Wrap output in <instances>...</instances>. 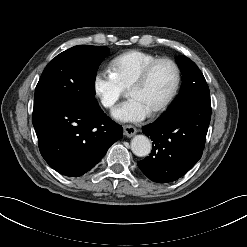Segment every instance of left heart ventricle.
<instances>
[{
	"mask_svg": "<svg viewBox=\"0 0 247 247\" xmlns=\"http://www.w3.org/2000/svg\"><path fill=\"white\" fill-rule=\"evenodd\" d=\"M174 77V70L169 64H159L152 71L147 82L131 90L128 95L152 110L168 95L173 86Z\"/></svg>",
	"mask_w": 247,
	"mask_h": 247,
	"instance_id": "obj_1",
	"label": "left heart ventricle"
}]
</instances>
